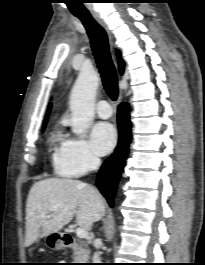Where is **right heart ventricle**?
Wrapping results in <instances>:
<instances>
[{"instance_id":"e07e8e85","label":"right heart ventricle","mask_w":205,"mask_h":265,"mask_svg":"<svg viewBox=\"0 0 205 265\" xmlns=\"http://www.w3.org/2000/svg\"><path fill=\"white\" fill-rule=\"evenodd\" d=\"M63 139L60 137L59 134H54L50 140V154L51 160L54 167L57 170V166L59 163L60 155H61V148H62ZM63 176H69L63 173H59Z\"/></svg>"}]
</instances>
